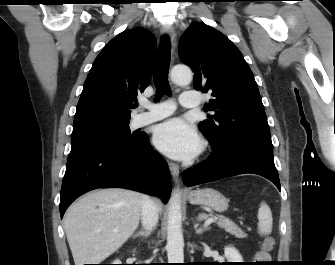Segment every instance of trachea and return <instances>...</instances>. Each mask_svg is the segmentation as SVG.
<instances>
[{
    "mask_svg": "<svg viewBox=\"0 0 335 265\" xmlns=\"http://www.w3.org/2000/svg\"><path fill=\"white\" fill-rule=\"evenodd\" d=\"M169 67L170 40L167 36H164L153 66V77L157 89L156 99H160L163 94H171L168 81Z\"/></svg>",
    "mask_w": 335,
    "mask_h": 265,
    "instance_id": "trachea-1",
    "label": "trachea"
}]
</instances>
